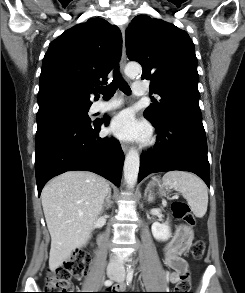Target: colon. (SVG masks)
<instances>
[{
	"instance_id": "obj_1",
	"label": "colon",
	"mask_w": 245,
	"mask_h": 293,
	"mask_svg": "<svg viewBox=\"0 0 245 293\" xmlns=\"http://www.w3.org/2000/svg\"><path fill=\"white\" fill-rule=\"evenodd\" d=\"M172 211L177 219L185 221L190 226L195 224L196 219L191 214L186 202L174 201L172 203ZM204 251V241L202 239L195 240L190 249L193 258L196 260L201 259ZM90 259V255L76 251L62 264L53 269H49L44 293H77L72 292V280L80 279L87 274ZM189 286L190 275L189 273H184L178 282L177 293H187L182 291H186Z\"/></svg>"
}]
</instances>
